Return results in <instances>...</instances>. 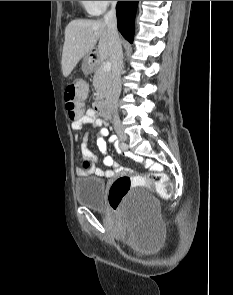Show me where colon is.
I'll return each mask as SVG.
<instances>
[{
	"mask_svg": "<svg viewBox=\"0 0 233 295\" xmlns=\"http://www.w3.org/2000/svg\"><path fill=\"white\" fill-rule=\"evenodd\" d=\"M86 96L87 87L80 80L71 82L65 88V108L71 119H76L83 112V104ZM83 167L87 168V163H83ZM144 184L154 185L162 197H168L172 192L171 184L162 173H151L143 177L121 176L117 178L110 187L108 194L110 207L113 210H118L131 190L143 186Z\"/></svg>",
	"mask_w": 233,
	"mask_h": 295,
	"instance_id": "5ec220e1",
	"label": "colon"
}]
</instances>
